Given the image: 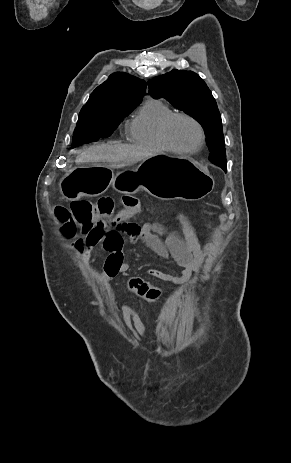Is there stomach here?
Returning a JSON list of instances; mask_svg holds the SVG:
<instances>
[{"instance_id":"obj_1","label":"stomach","mask_w":291,"mask_h":463,"mask_svg":"<svg viewBox=\"0 0 291 463\" xmlns=\"http://www.w3.org/2000/svg\"><path fill=\"white\" fill-rule=\"evenodd\" d=\"M138 175L112 174L105 166H84L68 173L60 183L64 198L76 200L83 195L98 196L110 186L122 193L144 189L161 200L195 201L214 188L211 175L191 158L158 154L137 167Z\"/></svg>"}]
</instances>
